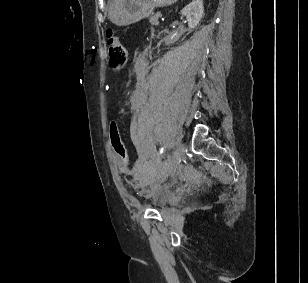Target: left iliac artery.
<instances>
[{
  "mask_svg": "<svg viewBox=\"0 0 308 283\" xmlns=\"http://www.w3.org/2000/svg\"><path fill=\"white\" fill-rule=\"evenodd\" d=\"M163 151H164V148L162 147V148H161V150H160V153L162 154V153H163Z\"/></svg>",
  "mask_w": 308,
  "mask_h": 283,
  "instance_id": "44dca946",
  "label": "left iliac artery"
}]
</instances>
